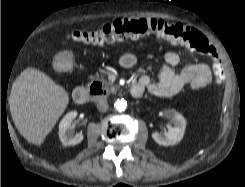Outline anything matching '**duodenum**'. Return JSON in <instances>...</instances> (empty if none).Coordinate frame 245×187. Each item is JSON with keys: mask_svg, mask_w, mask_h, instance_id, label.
Masks as SVG:
<instances>
[{"mask_svg": "<svg viewBox=\"0 0 245 187\" xmlns=\"http://www.w3.org/2000/svg\"><path fill=\"white\" fill-rule=\"evenodd\" d=\"M130 92L134 97H139L142 94V90L138 85H132ZM102 90L100 86H94L90 88L77 87L73 92V99L77 104H85L91 96H101Z\"/></svg>", "mask_w": 245, "mask_h": 187, "instance_id": "duodenum-1", "label": "duodenum"}]
</instances>
